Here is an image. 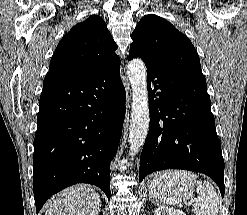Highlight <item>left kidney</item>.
Listing matches in <instances>:
<instances>
[{
    "instance_id": "1",
    "label": "left kidney",
    "mask_w": 247,
    "mask_h": 215,
    "mask_svg": "<svg viewBox=\"0 0 247 215\" xmlns=\"http://www.w3.org/2000/svg\"><path fill=\"white\" fill-rule=\"evenodd\" d=\"M154 215H186V214L173 207L158 206L154 210Z\"/></svg>"
}]
</instances>
